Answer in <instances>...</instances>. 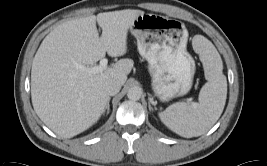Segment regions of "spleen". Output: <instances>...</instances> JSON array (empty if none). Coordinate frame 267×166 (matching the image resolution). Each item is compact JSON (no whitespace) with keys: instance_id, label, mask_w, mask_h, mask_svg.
I'll return each mask as SVG.
<instances>
[{"instance_id":"3e777b00","label":"spleen","mask_w":267,"mask_h":166,"mask_svg":"<svg viewBox=\"0 0 267 166\" xmlns=\"http://www.w3.org/2000/svg\"><path fill=\"white\" fill-rule=\"evenodd\" d=\"M194 44L208 80L201 88L199 101L174 103L159 113L161 121L169 129L185 138L206 133L221 116L227 97V80L218 51L203 37L195 40Z\"/></svg>"}]
</instances>
